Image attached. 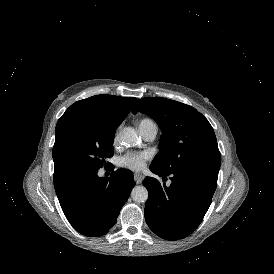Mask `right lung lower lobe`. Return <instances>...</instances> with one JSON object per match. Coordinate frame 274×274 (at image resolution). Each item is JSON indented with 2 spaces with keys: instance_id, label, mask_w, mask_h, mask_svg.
Here are the masks:
<instances>
[{
  "instance_id": "98d812e1",
  "label": "right lung lower lobe",
  "mask_w": 274,
  "mask_h": 274,
  "mask_svg": "<svg viewBox=\"0 0 274 274\" xmlns=\"http://www.w3.org/2000/svg\"><path fill=\"white\" fill-rule=\"evenodd\" d=\"M98 170L82 169L54 176V187L70 224L81 234L98 237L116 223L122 206L135 186L133 173L118 169L109 178Z\"/></svg>"
}]
</instances>
